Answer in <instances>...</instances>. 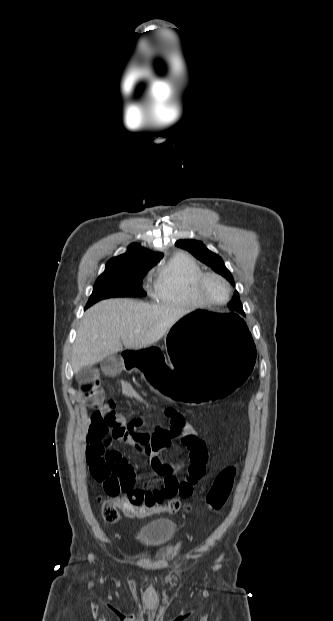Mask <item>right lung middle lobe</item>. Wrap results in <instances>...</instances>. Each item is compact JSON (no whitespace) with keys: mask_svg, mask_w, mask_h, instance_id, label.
Here are the masks:
<instances>
[{"mask_svg":"<svg viewBox=\"0 0 333 621\" xmlns=\"http://www.w3.org/2000/svg\"><path fill=\"white\" fill-rule=\"evenodd\" d=\"M151 267L134 263H107L85 309L110 297H144L146 292L142 288V279Z\"/></svg>","mask_w":333,"mask_h":621,"instance_id":"obj_1","label":"right lung middle lobe"}]
</instances>
